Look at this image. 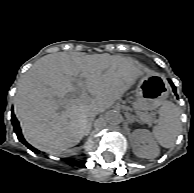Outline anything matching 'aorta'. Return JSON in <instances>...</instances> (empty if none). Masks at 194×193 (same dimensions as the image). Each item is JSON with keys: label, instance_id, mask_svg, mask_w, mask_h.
Returning a JSON list of instances; mask_svg holds the SVG:
<instances>
[{"label": "aorta", "instance_id": "obj_1", "mask_svg": "<svg viewBox=\"0 0 194 193\" xmlns=\"http://www.w3.org/2000/svg\"><path fill=\"white\" fill-rule=\"evenodd\" d=\"M105 120L109 124H118L121 121V114L116 110L108 111L105 115Z\"/></svg>", "mask_w": 194, "mask_h": 193}]
</instances>
